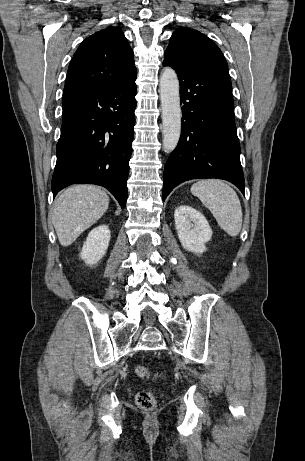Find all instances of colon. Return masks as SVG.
Segmentation results:
<instances>
[{
  "mask_svg": "<svg viewBox=\"0 0 305 461\" xmlns=\"http://www.w3.org/2000/svg\"><path fill=\"white\" fill-rule=\"evenodd\" d=\"M135 373L139 378H149L150 371L145 366H137ZM136 405L145 411H152L156 408L157 401L155 395L151 391H140L135 398Z\"/></svg>",
  "mask_w": 305,
  "mask_h": 461,
  "instance_id": "1",
  "label": "colon"
}]
</instances>
